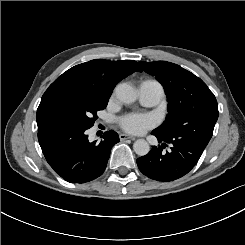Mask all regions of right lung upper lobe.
Wrapping results in <instances>:
<instances>
[{"label":"right lung upper lobe","mask_w":245,"mask_h":245,"mask_svg":"<svg viewBox=\"0 0 245 245\" xmlns=\"http://www.w3.org/2000/svg\"><path fill=\"white\" fill-rule=\"evenodd\" d=\"M135 71L142 72V69L133 60H91L76 65L59 76L46 90L41 101L47 99L58 86H76L110 97L117 83Z\"/></svg>","instance_id":"1"}]
</instances>
